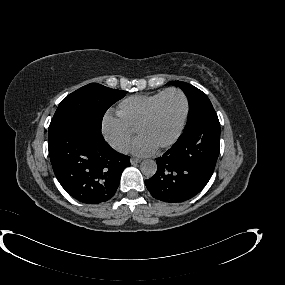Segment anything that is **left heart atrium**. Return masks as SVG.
<instances>
[{"instance_id":"obj_1","label":"left heart atrium","mask_w":285,"mask_h":285,"mask_svg":"<svg viewBox=\"0 0 285 285\" xmlns=\"http://www.w3.org/2000/svg\"><path fill=\"white\" fill-rule=\"evenodd\" d=\"M155 147L151 145L145 138L139 137L132 145L131 151L135 155L146 156L153 153Z\"/></svg>"}]
</instances>
